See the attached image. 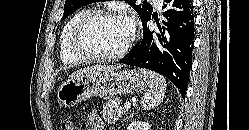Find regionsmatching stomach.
<instances>
[{
	"label": "stomach",
	"mask_w": 249,
	"mask_h": 130,
	"mask_svg": "<svg viewBox=\"0 0 249 130\" xmlns=\"http://www.w3.org/2000/svg\"><path fill=\"white\" fill-rule=\"evenodd\" d=\"M146 86V79L138 70H116L70 78L59 86L57 99L64 107H72L93 96L134 94L141 92Z\"/></svg>",
	"instance_id": "obj_1"
}]
</instances>
